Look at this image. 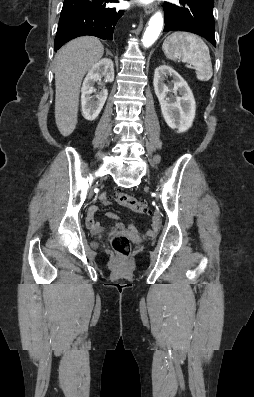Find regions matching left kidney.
I'll list each match as a JSON object with an SVG mask.
<instances>
[{
  "label": "left kidney",
  "mask_w": 254,
  "mask_h": 397,
  "mask_svg": "<svg viewBox=\"0 0 254 397\" xmlns=\"http://www.w3.org/2000/svg\"><path fill=\"white\" fill-rule=\"evenodd\" d=\"M168 75L173 78L172 90L164 83ZM153 85L167 125L177 133L186 132L192 126L196 112L194 96L187 82L171 67L161 65L155 69Z\"/></svg>",
  "instance_id": "5707ae66"
}]
</instances>
